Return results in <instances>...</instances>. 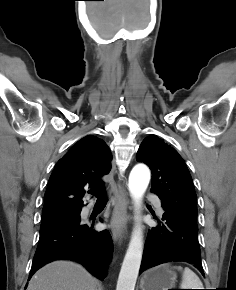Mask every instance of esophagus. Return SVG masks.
<instances>
[{
    "mask_svg": "<svg viewBox=\"0 0 236 290\" xmlns=\"http://www.w3.org/2000/svg\"><path fill=\"white\" fill-rule=\"evenodd\" d=\"M129 205L128 193L124 186L119 182L117 184V196L115 206L111 218V232L113 239L118 241L119 239L126 238L127 228V208Z\"/></svg>",
    "mask_w": 236,
    "mask_h": 290,
    "instance_id": "esophagus-1",
    "label": "esophagus"
}]
</instances>
